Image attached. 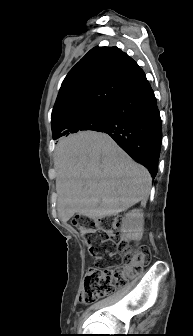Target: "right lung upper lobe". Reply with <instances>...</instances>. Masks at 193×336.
<instances>
[{
	"mask_svg": "<svg viewBox=\"0 0 193 336\" xmlns=\"http://www.w3.org/2000/svg\"><path fill=\"white\" fill-rule=\"evenodd\" d=\"M140 67L117 47L91 49L68 73L52 111L53 138L75 133L74 121L111 108Z\"/></svg>",
	"mask_w": 193,
	"mask_h": 336,
	"instance_id": "cb5924a9",
	"label": "right lung upper lobe"
}]
</instances>
